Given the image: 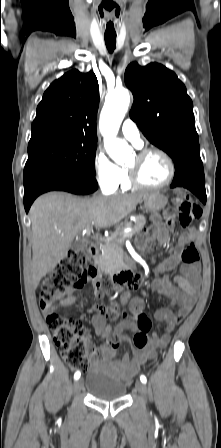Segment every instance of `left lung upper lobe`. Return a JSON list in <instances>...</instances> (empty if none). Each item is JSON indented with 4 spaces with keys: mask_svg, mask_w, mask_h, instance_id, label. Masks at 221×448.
<instances>
[{
    "mask_svg": "<svg viewBox=\"0 0 221 448\" xmlns=\"http://www.w3.org/2000/svg\"><path fill=\"white\" fill-rule=\"evenodd\" d=\"M134 102L130 117L146 138L165 151L175 169L200 161L193 104L176 74L158 63H131L124 75Z\"/></svg>",
    "mask_w": 221,
    "mask_h": 448,
    "instance_id": "obj_1",
    "label": "left lung upper lobe"
}]
</instances>
